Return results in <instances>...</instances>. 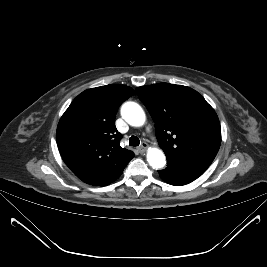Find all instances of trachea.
Instances as JSON below:
<instances>
[{
	"label": "trachea",
	"mask_w": 267,
	"mask_h": 267,
	"mask_svg": "<svg viewBox=\"0 0 267 267\" xmlns=\"http://www.w3.org/2000/svg\"><path fill=\"white\" fill-rule=\"evenodd\" d=\"M139 144H140V140H139L138 137H136V136H131V137L129 138V145H130V146H139Z\"/></svg>",
	"instance_id": "trachea-1"
}]
</instances>
